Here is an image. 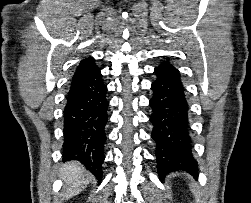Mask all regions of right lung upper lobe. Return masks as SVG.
<instances>
[{
    "mask_svg": "<svg viewBox=\"0 0 251 203\" xmlns=\"http://www.w3.org/2000/svg\"><path fill=\"white\" fill-rule=\"evenodd\" d=\"M94 66H96V65H95L94 59L92 57H89V58L82 60L80 62V64L77 66L72 79H74L75 77L79 76L80 74H82L83 72H85L86 70H88Z\"/></svg>",
    "mask_w": 251,
    "mask_h": 203,
    "instance_id": "obj_1",
    "label": "right lung upper lobe"
}]
</instances>
